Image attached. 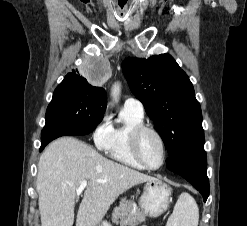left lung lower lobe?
Wrapping results in <instances>:
<instances>
[{
    "instance_id": "1",
    "label": "left lung lower lobe",
    "mask_w": 247,
    "mask_h": 226,
    "mask_svg": "<svg viewBox=\"0 0 247 226\" xmlns=\"http://www.w3.org/2000/svg\"><path fill=\"white\" fill-rule=\"evenodd\" d=\"M167 168L189 181L202 194L204 202L207 200L209 180L204 143L171 155Z\"/></svg>"
}]
</instances>
